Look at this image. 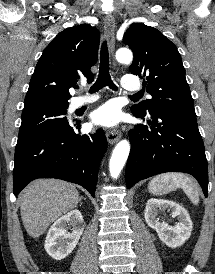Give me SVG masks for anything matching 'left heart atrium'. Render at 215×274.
<instances>
[{
  "label": "left heart atrium",
  "instance_id": "39dd6f15",
  "mask_svg": "<svg viewBox=\"0 0 215 274\" xmlns=\"http://www.w3.org/2000/svg\"><path fill=\"white\" fill-rule=\"evenodd\" d=\"M91 119L97 126L111 128L119 124L120 112L115 104L106 103L92 113Z\"/></svg>",
  "mask_w": 215,
  "mask_h": 274
}]
</instances>
